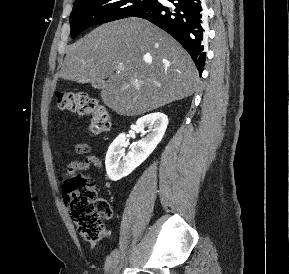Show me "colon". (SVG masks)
I'll list each match as a JSON object with an SVG mask.
<instances>
[{"instance_id":"5ec220e1","label":"colon","mask_w":289,"mask_h":274,"mask_svg":"<svg viewBox=\"0 0 289 274\" xmlns=\"http://www.w3.org/2000/svg\"><path fill=\"white\" fill-rule=\"evenodd\" d=\"M57 104L61 110L90 115V131L102 133L111 126L108 110L97 99L85 92H58ZM63 198L80 235L88 241L102 238L104 220L112 211L107 200L98 197L94 180L85 175H73L63 182Z\"/></svg>"}]
</instances>
